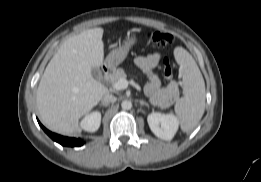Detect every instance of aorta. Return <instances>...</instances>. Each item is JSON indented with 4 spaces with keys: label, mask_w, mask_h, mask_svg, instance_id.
Here are the masks:
<instances>
[{
    "label": "aorta",
    "mask_w": 261,
    "mask_h": 182,
    "mask_svg": "<svg viewBox=\"0 0 261 182\" xmlns=\"http://www.w3.org/2000/svg\"><path fill=\"white\" fill-rule=\"evenodd\" d=\"M121 107L123 110H130L132 108V103L129 100H124L121 103Z\"/></svg>",
    "instance_id": "1"
}]
</instances>
